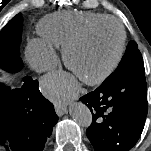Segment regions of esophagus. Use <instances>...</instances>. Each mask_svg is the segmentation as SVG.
Masks as SVG:
<instances>
[{
	"label": "esophagus",
	"mask_w": 151,
	"mask_h": 151,
	"mask_svg": "<svg viewBox=\"0 0 151 151\" xmlns=\"http://www.w3.org/2000/svg\"><path fill=\"white\" fill-rule=\"evenodd\" d=\"M55 111H56L57 115L62 116L67 113V108L65 105L55 104Z\"/></svg>",
	"instance_id": "obj_1"
}]
</instances>
